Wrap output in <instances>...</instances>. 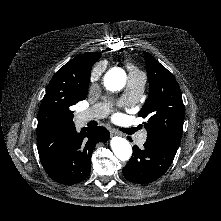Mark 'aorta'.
I'll return each instance as SVG.
<instances>
[{
  "mask_svg": "<svg viewBox=\"0 0 221 221\" xmlns=\"http://www.w3.org/2000/svg\"><path fill=\"white\" fill-rule=\"evenodd\" d=\"M126 82V74L119 69L109 70L104 77V85L107 90H120ZM111 148L115 156L121 161H127L132 155V147L128 140L122 137H113Z\"/></svg>",
  "mask_w": 221,
  "mask_h": 221,
  "instance_id": "obj_1",
  "label": "aorta"
}]
</instances>
